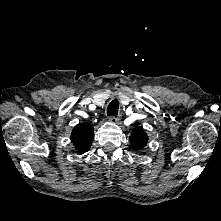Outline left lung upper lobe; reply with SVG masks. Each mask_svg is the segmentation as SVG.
<instances>
[{"label":"left lung upper lobe","instance_id":"5c2ea615","mask_svg":"<svg viewBox=\"0 0 221 221\" xmlns=\"http://www.w3.org/2000/svg\"><path fill=\"white\" fill-rule=\"evenodd\" d=\"M148 136L142 128L134 130L130 137V145L134 151L143 149L147 145Z\"/></svg>","mask_w":221,"mask_h":221}]
</instances>
